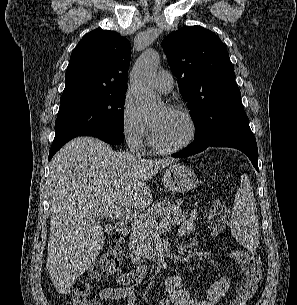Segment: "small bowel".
<instances>
[{
  "instance_id": "obj_1",
  "label": "small bowel",
  "mask_w": 297,
  "mask_h": 305,
  "mask_svg": "<svg viewBox=\"0 0 297 305\" xmlns=\"http://www.w3.org/2000/svg\"><path fill=\"white\" fill-rule=\"evenodd\" d=\"M197 212L191 210L179 229V235H190L195 227ZM146 268L139 267L133 271L125 272L117 277L119 286H108L99 290L100 302L125 300L127 305H138V296L133 286L139 284L146 276ZM231 281L229 277H221L207 286L203 298L194 299L183 286V278L174 274L166 280L167 296L162 298L159 305H217L228 293Z\"/></svg>"
}]
</instances>
